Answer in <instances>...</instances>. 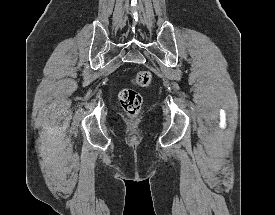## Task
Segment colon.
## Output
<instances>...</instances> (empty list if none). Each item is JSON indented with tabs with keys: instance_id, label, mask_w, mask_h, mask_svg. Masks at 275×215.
Listing matches in <instances>:
<instances>
[{
	"instance_id": "obj_1",
	"label": "colon",
	"mask_w": 275,
	"mask_h": 215,
	"mask_svg": "<svg viewBox=\"0 0 275 215\" xmlns=\"http://www.w3.org/2000/svg\"><path fill=\"white\" fill-rule=\"evenodd\" d=\"M152 79V74L149 71H139L132 80L133 87L123 88L120 91L119 100L128 116H137L142 106V97L136 88L149 86Z\"/></svg>"
}]
</instances>
